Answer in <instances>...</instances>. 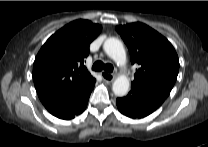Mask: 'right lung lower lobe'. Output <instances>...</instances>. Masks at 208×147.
I'll list each match as a JSON object with an SVG mask.
<instances>
[{
    "label": "right lung lower lobe",
    "mask_w": 208,
    "mask_h": 147,
    "mask_svg": "<svg viewBox=\"0 0 208 147\" xmlns=\"http://www.w3.org/2000/svg\"><path fill=\"white\" fill-rule=\"evenodd\" d=\"M94 85L95 80L71 99L49 106L46 109L57 118L72 119L85 110Z\"/></svg>",
    "instance_id": "1"
}]
</instances>
